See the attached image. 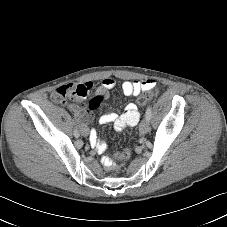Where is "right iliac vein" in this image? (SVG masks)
<instances>
[{"mask_svg": "<svg viewBox=\"0 0 227 227\" xmlns=\"http://www.w3.org/2000/svg\"><path fill=\"white\" fill-rule=\"evenodd\" d=\"M81 133H82L84 136H87V135H88V130H83V131H81Z\"/></svg>", "mask_w": 227, "mask_h": 227, "instance_id": "63e3f726", "label": "right iliac vein"}]
</instances>
